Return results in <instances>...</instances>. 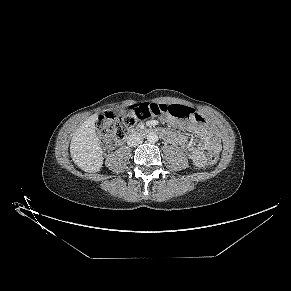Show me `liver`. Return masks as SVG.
I'll use <instances>...</instances> for the list:
<instances>
[{
  "mask_svg": "<svg viewBox=\"0 0 291 291\" xmlns=\"http://www.w3.org/2000/svg\"><path fill=\"white\" fill-rule=\"evenodd\" d=\"M97 116L91 115L80 125L70 144L72 160L85 172H98L103 165V151L95 131Z\"/></svg>",
  "mask_w": 291,
  "mask_h": 291,
  "instance_id": "6515ba94",
  "label": "liver"
}]
</instances>
